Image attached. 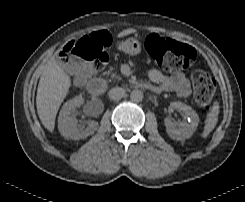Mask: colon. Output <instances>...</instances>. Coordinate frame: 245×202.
<instances>
[{"label": "colon", "mask_w": 245, "mask_h": 202, "mask_svg": "<svg viewBox=\"0 0 245 202\" xmlns=\"http://www.w3.org/2000/svg\"><path fill=\"white\" fill-rule=\"evenodd\" d=\"M110 44V37L100 32L70 41L63 48L61 56L68 64H71L70 60H85L86 66L76 64L72 67L73 75L78 77L85 70L98 71L107 64ZM146 51L154 63L168 72L187 70L197 59V52L192 46L172 40H161L155 35L148 37ZM192 78L196 103L204 111H209L216 89L215 79L200 69L194 71Z\"/></svg>", "instance_id": "obj_1"}]
</instances>
